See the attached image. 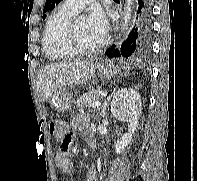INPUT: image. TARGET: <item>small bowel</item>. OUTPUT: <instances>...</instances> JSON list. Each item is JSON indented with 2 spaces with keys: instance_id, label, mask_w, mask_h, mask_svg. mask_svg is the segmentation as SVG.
Returning <instances> with one entry per match:
<instances>
[{
  "instance_id": "1",
  "label": "small bowel",
  "mask_w": 197,
  "mask_h": 181,
  "mask_svg": "<svg viewBox=\"0 0 197 181\" xmlns=\"http://www.w3.org/2000/svg\"><path fill=\"white\" fill-rule=\"evenodd\" d=\"M63 128L61 130L59 138L61 141L63 139L67 140L68 149L66 151L59 150L55 156L56 165L68 176L73 173V163L69 153V146L73 143L75 132L78 130H82L84 137L92 135L88 126H87V118L84 115H78L74 117L70 124V130L68 126L62 123ZM86 181H98L97 172L94 167H91L87 173Z\"/></svg>"
}]
</instances>
